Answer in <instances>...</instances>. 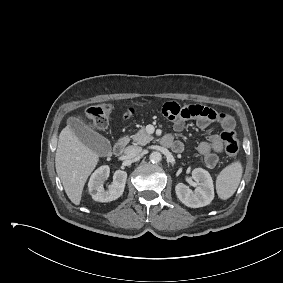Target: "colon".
Returning a JSON list of instances; mask_svg holds the SVG:
<instances>
[{"label": "colon", "mask_w": 283, "mask_h": 283, "mask_svg": "<svg viewBox=\"0 0 283 283\" xmlns=\"http://www.w3.org/2000/svg\"><path fill=\"white\" fill-rule=\"evenodd\" d=\"M112 106L100 104L88 108L87 114L91 121L99 128L105 129L109 124ZM221 141L224 143L228 156L234 158L239 152V141L234 130H224L221 133Z\"/></svg>", "instance_id": "obj_1"}]
</instances>
